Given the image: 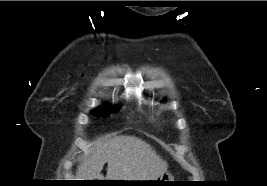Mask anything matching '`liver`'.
Returning a JSON list of instances; mask_svg holds the SVG:
<instances>
[{"instance_id": "obj_1", "label": "liver", "mask_w": 267, "mask_h": 186, "mask_svg": "<svg viewBox=\"0 0 267 186\" xmlns=\"http://www.w3.org/2000/svg\"><path fill=\"white\" fill-rule=\"evenodd\" d=\"M151 181L167 171L168 165L145 141L134 136H117L97 142L90 155L78 166V180Z\"/></svg>"}]
</instances>
